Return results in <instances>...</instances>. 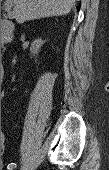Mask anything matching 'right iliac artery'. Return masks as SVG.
Returning a JSON list of instances; mask_svg holds the SVG:
<instances>
[{"label": "right iliac artery", "instance_id": "82829eb1", "mask_svg": "<svg viewBox=\"0 0 109 170\" xmlns=\"http://www.w3.org/2000/svg\"><path fill=\"white\" fill-rule=\"evenodd\" d=\"M16 163H10V164H8V166H7V169L8 170H13L14 168H16Z\"/></svg>", "mask_w": 109, "mask_h": 170}]
</instances>
